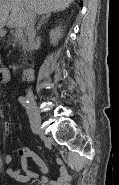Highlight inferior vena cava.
Instances as JSON below:
<instances>
[{
	"instance_id": "1",
	"label": "inferior vena cava",
	"mask_w": 119,
	"mask_h": 185,
	"mask_svg": "<svg viewBox=\"0 0 119 185\" xmlns=\"http://www.w3.org/2000/svg\"><path fill=\"white\" fill-rule=\"evenodd\" d=\"M34 23H35V13L29 9L26 11L25 32L28 37L29 48L31 50H33V48H34V41H35V35H36ZM27 96L30 98L33 97V93L31 91V89L28 90Z\"/></svg>"
}]
</instances>
